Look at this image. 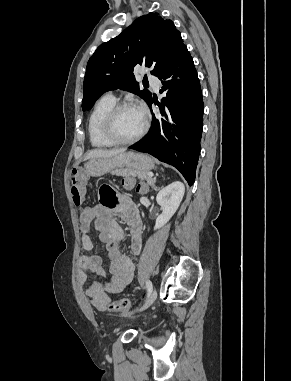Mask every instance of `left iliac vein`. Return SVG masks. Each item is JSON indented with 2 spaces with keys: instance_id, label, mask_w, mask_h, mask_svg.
I'll use <instances>...</instances> for the list:
<instances>
[{
  "instance_id": "4c4485c4",
  "label": "left iliac vein",
  "mask_w": 291,
  "mask_h": 381,
  "mask_svg": "<svg viewBox=\"0 0 291 381\" xmlns=\"http://www.w3.org/2000/svg\"><path fill=\"white\" fill-rule=\"evenodd\" d=\"M156 298H157V291H156V289H154L150 293L148 299L145 301V303L143 304V306L140 308L139 311H143V310H146L147 308H149L154 303Z\"/></svg>"
}]
</instances>
